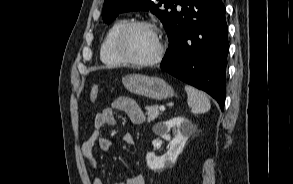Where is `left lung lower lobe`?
I'll list each match as a JSON object with an SVG mask.
<instances>
[{
	"label": "left lung lower lobe",
	"instance_id": "obj_1",
	"mask_svg": "<svg viewBox=\"0 0 293 184\" xmlns=\"http://www.w3.org/2000/svg\"><path fill=\"white\" fill-rule=\"evenodd\" d=\"M167 30L169 47L160 67L225 102L229 50L222 0H179Z\"/></svg>",
	"mask_w": 293,
	"mask_h": 184
}]
</instances>
